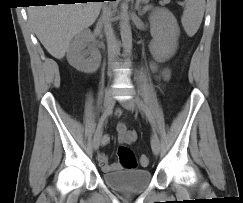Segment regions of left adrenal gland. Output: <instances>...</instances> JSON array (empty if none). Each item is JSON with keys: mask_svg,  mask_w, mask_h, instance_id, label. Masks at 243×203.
Segmentation results:
<instances>
[{"mask_svg": "<svg viewBox=\"0 0 243 203\" xmlns=\"http://www.w3.org/2000/svg\"><path fill=\"white\" fill-rule=\"evenodd\" d=\"M135 9L138 10V14H139V16H142V15L145 13L144 11H141V10L138 8L137 5H136Z\"/></svg>", "mask_w": 243, "mask_h": 203, "instance_id": "1", "label": "left adrenal gland"}]
</instances>
